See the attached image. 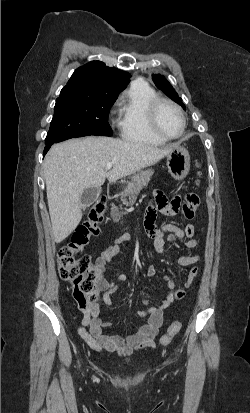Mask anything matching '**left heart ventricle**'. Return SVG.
I'll use <instances>...</instances> for the list:
<instances>
[{
  "label": "left heart ventricle",
  "mask_w": 250,
  "mask_h": 413,
  "mask_svg": "<svg viewBox=\"0 0 250 413\" xmlns=\"http://www.w3.org/2000/svg\"><path fill=\"white\" fill-rule=\"evenodd\" d=\"M157 122L160 130L167 135L175 136L181 132L182 120L178 112L167 104L160 107Z\"/></svg>",
  "instance_id": "left-heart-ventricle-1"
}]
</instances>
